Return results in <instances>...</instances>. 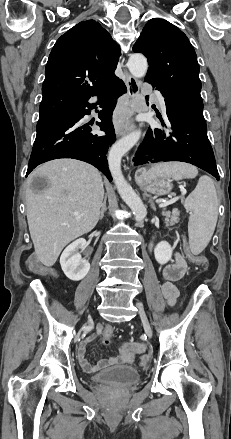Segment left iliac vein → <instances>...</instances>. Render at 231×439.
<instances>
[{"label":"left iliac vein","instance_id":"4c4485c4","mask_svg":"<svg viewBox=\"0 0 231 439\" xmlns=\"http://www.w3.org/2000/svg\"><path fill=\"white\" fill-rule=\"evenodd\" d=\"M136 306L138 308V312H139L140 318L142 320L145 332L147 334H151L152 333L151 326H150V323L148 321L147 315L144 311L142 304H140L139 302H136Z\"/></svg>","mask_w":231,"mask_h":439}]
</instances>
